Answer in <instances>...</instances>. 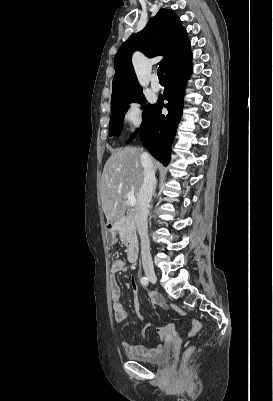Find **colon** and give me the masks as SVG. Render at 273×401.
Listing matches in <instances>:
<instances>
[{"label": "colon", "mask_w": 273, "mask_h": 401, "mask_svg": "<svg viewBox=\"0 0 273 401\" xmlns=\"http://www.w3.org/2000/svg\"><path fill=\"white\" fill-rule=\"evenodd\" d=\"M207 335H210V332H207ZM198 346H199L198 341L196 340L191 341L190 345L188 346V349H182L181 351L182 358H197ZM180 372L182 373L181 378L183 380H189L191 378V375L189 374L190 369L188 367H182L180 369Z\"/></svg>", "instance_id": "obj_1"}]
</instances>
